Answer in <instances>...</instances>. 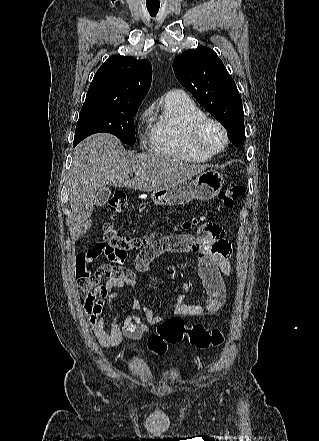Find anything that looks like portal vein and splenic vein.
<instances>
[{
	"label": "portal vein and splenic vein",
	"mask_w": 319,
	"mask_h": 441,
	"mask_svg": "<svg viewBox=\"0 0 319 441\" xmlns=\"http://www.w3.org/2000/svg\"><path fill=\"white\" fill-rule=\"evenodd\" d=\"M135 174H136V175H139V171H136Z\"/></svg>",
	"instance_id": "obj_1"
}]
</instances>
